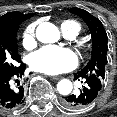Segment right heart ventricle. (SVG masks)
<instances>
[{
	"label": "right heart ventricle",
	"instance_id": "right-heart-ventricle-1",
	"mask_svg": "<svg viewBox=\"0 0 117 117\" xmlns=\"http://www.w3.org/2000/svg\"><path fill=\"white\" fill-rule=\"evenodd\" d=\"M61 28L64 32V34H74L77 35L80 30H81V26L78 22L74 21V20H64L61 23Z\"/></svg>",
	"mask_w": 117,
	"mask_h": 117
}]
</instances>
